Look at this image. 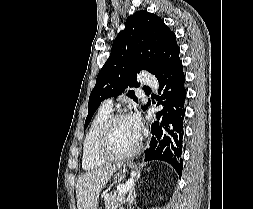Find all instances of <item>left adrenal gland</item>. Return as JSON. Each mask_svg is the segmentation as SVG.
Masks as SVG:
<instances>
[{"instance_id": "left-adrenal-gland-1", "label": "left adrenal gland", "mask_w": 253, "mask_h": 209, "mask_svg": "<svg viewBox=\"0 0 253 209\" xmlns=\"http://www.w3.org/2000/svg\"><path fill=\"white\" fill-rule=\"evenodd\" d=\"M137 194H136V191H135V187L133 186L129 192V195H128V198H127V202H128V206H129V209H131V206L134 202V199L136 198Z\"/></svg>"}]
</instances>
